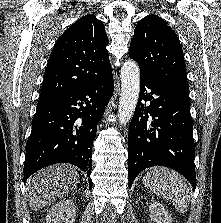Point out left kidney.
<instances>
[{
  "label": "left kidney",
  "instance_id": "left-kidney-1",
  "mask_svg": "<svg viewBox=\"0 0 221 223\" xmlns=\"http://www.w3.org/2000/svg\"><path fill=\"white\" fill-rule=\"evenodd\" d=\"M149 210L152 221L156 223H172V218L169 212L161 203L152 202L149 206Z\"/></svg>",
  "mask_w": 221,
  "mask_h": 223
}]
</instances>
